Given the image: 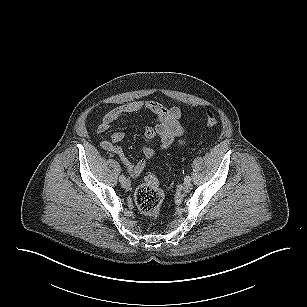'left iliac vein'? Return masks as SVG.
<instances>
[{
  "label": "left iliac vein",
  "mask_w": 307,
  "mask_h": 307,
  "mask_svg": "<svg viewBox=\"0 0 307 307\" xmlns=\"http://www.w3.org/2000/svg\"><path fill=\"white\" fill-rule=\"evenodd\" d=\"M192 189V184H191V182L189 181H185L184 183H183V185H182V190L184 191V192H189L190 190Z\"/></svg>",
  "instance_id": "obj_1"
}]
</instances>
